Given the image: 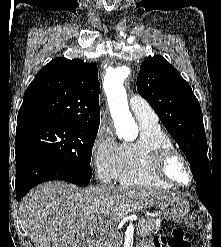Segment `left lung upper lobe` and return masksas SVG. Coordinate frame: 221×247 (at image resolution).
<instances>
[{"mask_svg":"<svg viewBox=\"0 0 221 247\" xmlns=\"http://www.w3.org/2000/svg\"><path fill=\"white\" fill-rule=\"evenodd\" d=\"M137 90L186 155L197 186H212L202 111L190 85L157 55L141 64Z\"/></svg>","mask_w":221,"mask_h":247,"instance_id":"obj_1","label":"left lung upper lobe"}]
</instances>
